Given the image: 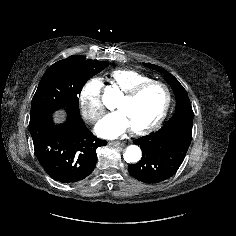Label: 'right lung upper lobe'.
Instances as JSON below:
<instances>
[{
    "label": "right lung upper lobe",
    "instance_id": "1",
    "mask_svg": "<svg viewBox=\"0 0 236 236\" xmlns=\"http://www.w3.org/2000/svg\"><path fill=\"white\" fill-rule=\"evenodd\" d=\"M69 58L85 59V57L79 56V55H73V56H70Z\"/></svg>",
    "mask_w": 236,
    "mask_h": 236
}]
</instances>
